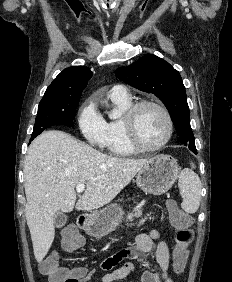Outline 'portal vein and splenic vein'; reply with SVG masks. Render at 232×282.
Listing matches in <instances>:
<instances>
[{"label":"portal vein and splenic vein","instance_id":"portal-vein-and-splenic-vein-1","mask_svg":"<svg viewBox=\"0 0 232 282\" xmlns=\"http://www.w3.org/2000/svg\"><path fill=\"white\" fill-rule=\"evenodd\" d=\"M85 189V184L84 183H79L77 186H76V191L77 193H82Z\"/></svg>","mask_w":232,"mask_h":282}]
</instances>
